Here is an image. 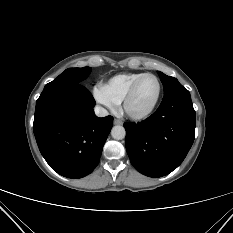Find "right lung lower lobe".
<instances>
[{
    "instance_id": "98d812e1",
    "label": "right lung lower lobe",
    "mask_w": 233,
    "mask_h": 233,
    "mask_svg": "<svg viewBox=\"0 0 233 233\" xmlns=\"http://www.w3.org/2000/svg\"><path fill=\"white\" fill-rule=\"evenodd\" d=\"M95 100L80 83L45 87L33 123L39 150L58 174L82 178L98 165L113 117L94 114Z\"/></svg>"
}]
</instances>
